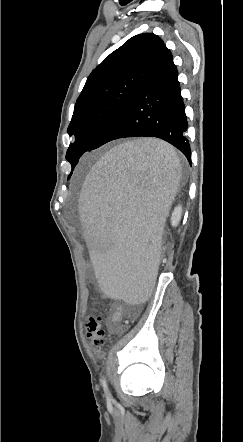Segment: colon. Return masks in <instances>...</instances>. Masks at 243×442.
Segmentation results:
<instances>
[{"label":"colon","mask_w":243,"mask_h":442,"mask_svg":"<svg viewBox=\"0 0 243 442\" xmlns=\"http://www.w3.org/2000/svg\"><path fill=\"white\" fill-rule=\"evenodd\" d=\"M171 239L168 236L162 238L161 251L159 253L160 258L165 259L170 251ZM103 318L101 316H92L88 318L86 323V334L92 345L98 351L105 348L106 345V333L103 325Z\"/></svg>","instance_id":"1"}]
</instances>
